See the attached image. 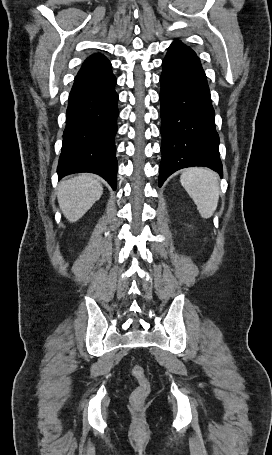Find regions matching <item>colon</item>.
Listing matches in <instances>:
<instances>
[{
	"label": "colon",
	"instance_id": "obj_1",
	"mask_svg": "<svg viewBox=\"0 0 272 455\" xmlns=\"http://www.w3.org/2000/svg\"><path fill=\"white\" fill-rule=\"evenodd\" d=\"M132 375L138 381V386L131 394V402L134 406H140L150 391V385L142 366L134 365Z\"/></svg>",
	"mask_w": 272,
	"mask_h": 455
}]
</instances>
